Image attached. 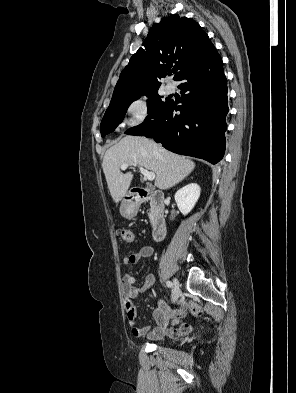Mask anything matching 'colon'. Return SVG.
<instances>
[{"label": "colon", "mask_w": 296, "mask_h": 393, "mask_svg": "<svg viewBox=\"0 0 296 393\" xmlns=\"http://www.w3.org/2000/svg\"><path fill=\"white\" fill-rule=\"evenodd\" d=\"M117 235L127 245H130L134 242V233L129 229L119 228L117 230ZM191 309L195 314L200 313V308L195 304H191Z\"/></svg>", "instance_id": "obj_1"}]
</instances>
